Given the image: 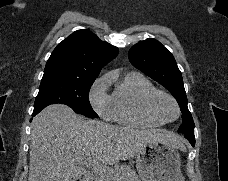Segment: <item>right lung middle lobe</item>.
Instances as JSON below:
<instances>
[{
    "mask_svg": "<svg viewBox=\"0 0 228 181\" xmlns=\"http://www.w3.org/2000/svg\"><path fill=\"white\" fill-rule=\"evenodd\" d=\"M93 82L94 80L43 77L35 100L34 111L40 112L48 105L60 103L68 105L78 114L97 118L98 115L92 109L88 99Z\"/></svg>",
    "mask_w": 228,
    "mask_h": 181,
    "instance_id": "dd1d6c3e",
    "label": "right lung middle lobe"
}]
</instances>
